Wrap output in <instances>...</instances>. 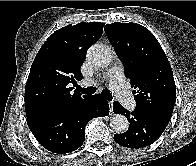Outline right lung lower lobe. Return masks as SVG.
<instances>
[{
	"label": "right lung lower lobe",
	"instance_id": "obj_1",
	"mask_svg": "<svg viewBox=\"0 0 196 166\" xmlns=\"http://www.w3.org/2000/svg\"><path fill=\"white\" fill-rule=\"evenodd\" d=\"M108 114V102L96 94L86 96L52 113L27 119V124L44 148L53 153L65 154L83 145L85 126L89 120Z\"/></svg>",
	"mask_w": 196,
	"mask_h": 166
}]
</instances>
